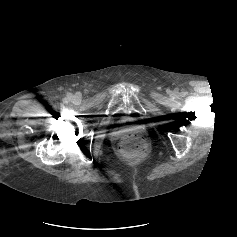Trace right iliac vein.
Wrapping results in <instances>:
<instances>
[{
  "label": "right iliac vein",
  "instance_id": "63e3f726",
  "mask_svg": "<svg viewBox=\"0 0 237 237\" xmlns=\"http://www.w3.org/2000/svg\"><path fill=\"white\" fill-rule=\"evenodd\" d=\"M75 101H79V98H78V97H75Z\"/></svg>",
  "mask_w": 237,
  "mask_h": 237
}]
</instances>
